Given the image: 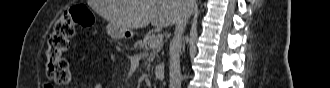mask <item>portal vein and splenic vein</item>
Returning <instances> with one entry per match:
<instances>
[{
	"label": "portal vein and splenic vein",
	"instance_id": "1",
	"mask_svg": "<svg viewBox=\"0 0 330 88\" xmlns=\"http://www.w3.org/2000/svg\"><path fill=\"white\" fill-rule=\"evenodd\" d=\"M163 41V35L162 33H158L155 38V42L150 45V48H155L158 47L159 45L162 44Z\"/></svg>",
	"mask_w": 330,
	"mask_h": 88
}]
</instances>
